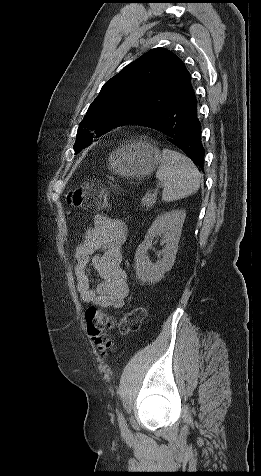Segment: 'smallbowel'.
Returning a JSON list of instances; mask_svg holds the SVG:
<instances>
[{
  "mask_svg": "<svg viewBox=\"0 0 261 476\" xmlns=\"http://www.w3.org/2000/svg\"><path fill=\"white\" fill-rule=\"evenodd\" d=\"M127 227L121 220L97 214L75 249L76 288L84 303L119 309L129 294L127 276L121 266ZM93 268L100 281L93 286Z\"/></svg>",
  "mask_w": 261,
  "mask_h": 476,
  "instance_id": "1",
  "label": "small bowel"
}]
</instances>
